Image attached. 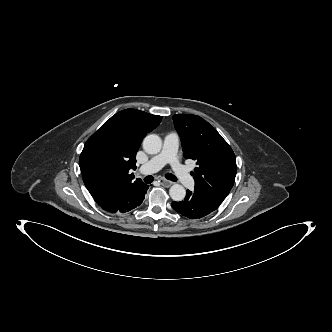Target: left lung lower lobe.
I'll return each mask as SVG.
<instances>
[{
    "label": "left lung lower lobe",
    "instance_id": "1",
    "mask_svg": "<svg viewBox=\"0 0 332 332\" xmlns=\"http://www.w3.org/2000/svg\"><path fill=\"white\" fill-rule=\"evenodd\" d=\"M172 207L181 215L190 219H200L215 211L219 205L195 191L187 190L186 197L181 202H172Z\"/></svg>",
    "mask_w": 332,
    "mask_h": 332
}]
</instances>
